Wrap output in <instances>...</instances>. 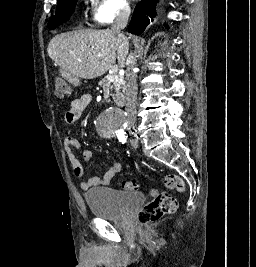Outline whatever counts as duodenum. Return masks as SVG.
<instances>
[{"label":"duodenum","instance_id":"obj_1","mask_svg":"<svg viewBox=\"0 0 256 267\" xmlns=\"http://www.w3.org/2000/svg\"><path fill=\"white\" fill-rule=\"evenodd\" d=\"M62 79H66L67 82H70L72 86H81L82 82L80 77H75V74H69V70H62ZM116 103L120 108L125 107L124 99H117Z\"/></svg>","mask_w":256,"mask_h":267}]
</instances>
